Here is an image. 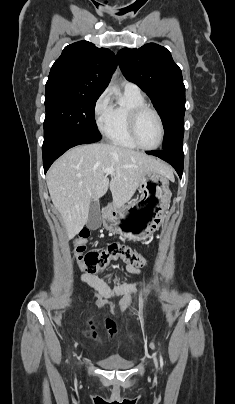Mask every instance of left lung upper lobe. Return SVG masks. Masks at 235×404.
Wrapping results in <instances>:
<instances>
[{
  "label": "left lung upper lobe",
  "instance_id": "5c2ea615",
  "mask_svg": "<svg viewBox=\"0 0 235 404\" xmlns=\"http://www.w3.org/2000/svg\"><path fill=\"white\" fill-rule=\"evenodd\" d=\"M117 58L126 79L146 92L159 112L165 128L163 149L182 147L185 86L169 50L148 43L139 49H121Z\"/></svg>",
  "mask_w": 235,
  "mask_h": 404
}]
</instances>
